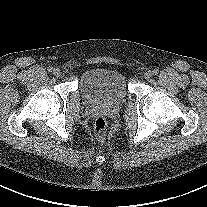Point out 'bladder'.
I'll list each match as a JSON object with an SVG mask.
<instances>
[{
  "instance_id": "obj_1",
  "label": "bladder",
  "mask_w": 207,
  "mask_h": 207,
  "mask_svg": "<svg viewBox=\"0 0 207 207\" xmlns=\"http://www.w3.org/2000/svg\"><path fill=\"white\" fill-rule=\"evenodd\" d=\"M80 89L83 96L94 103H117L128 94L125 75L114 68L99 67L85 72Z\"/></svg>"
}]
</instances>
